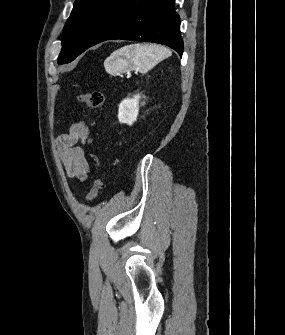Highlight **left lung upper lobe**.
<instances>
[{"mask_svg": "<svg viewBox=\"0 0 285 335\" xmlns=\"http://www.w3.org/2000/svg\"><path fill=\"white\" fill-rule=\"evenodd\" d=\"M111 0H76L64 26L58 64L73 61L80 54L81 43L90 26Z\"/></svg>", "mask_w": 285, "mask_h": 335, "instance_id": "1", "label": "left lung upper lobe"}]
</instances>
